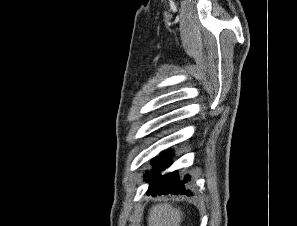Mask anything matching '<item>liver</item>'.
<instances>
[{
  "label": "liver",
  "instance_id": "liver-1",
  "mask_svg": "<svg viewBox=\"0 0 297 226\" xmlns=\"http://www.w3.org/2000/svg\"><path fill=\"white\" fill-rule=\"evenodd\" d=\"M183 213L168 203L153 205L148 214V226H180Z\"/></svg>",
  "mask_w": 297,
  "mask_h": 226
}]
</instances>
